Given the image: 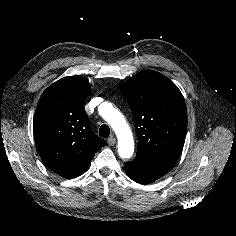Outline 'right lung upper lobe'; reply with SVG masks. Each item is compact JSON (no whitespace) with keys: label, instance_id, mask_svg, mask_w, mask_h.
Segmentation results:
<instances>
[{"label":"right lung upper lobe","instance_id":"right-lung-upper-lobe-1","mask_svg":"<svg viewBox=\"0 0 236 236\" xmlns=\"http://www.w3.org/2000/svg\"><path fill=\"white\" fill-rule=\"evenodd\" d=\"M89 83L80 76L64 77L42 94L33 118L37 150L45 165L64 178L82 173L107 143L91 130L84 102Z\"/></svg>","mask_w":236,"mask_h":236}]
</instances>
